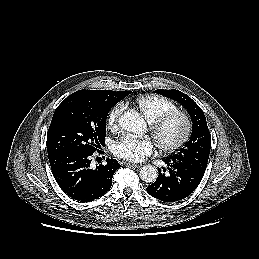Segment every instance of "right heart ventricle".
<instances>
[{
	"instance_id": "obj_1",
	"label": "right heart ventricle",
	"mask_w": 259,
	"mask_h": 259,
	"mask_svg": "<svg viewBox=\"0 0 259 259\" xmlns=\"http://www.w3.org/2000/svg\"><path fill=\"white\" fill-rule=\"evenodd\" d=\"M135 103L149 122L167 111L177 109L171 100L159 95L140 96Z\"/></svg>"
}]
</instances>
